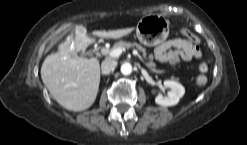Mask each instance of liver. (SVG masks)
I'll return each instance as SVG.
<instances>
[{
  "label": "liver",
  "instance_id": "1",
  "mask_svg": "<svg viewBox=\"0 0 247 145\" xmlns=\"http://www.w3.org/2000/svg\"><path fill=\"white\" fill-rule=\"evenodd\" d=\"M133 31L125 28L112 31H94L100 38L119 39ZM94 42L86 36V29L77 26L75 37L70 35L58 51L48 55L41 67V78L51 96L67 110L79 112L94 103L100 83V63L97 59L78 56Z\"/></svg>",
  "mask_w": 247,
  "mask_h": 145
}]
</instances>
